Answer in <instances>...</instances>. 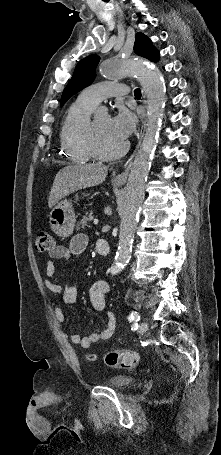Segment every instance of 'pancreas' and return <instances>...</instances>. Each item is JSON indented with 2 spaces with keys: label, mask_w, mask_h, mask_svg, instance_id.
I'll return each instance as SVG.
<instances>
[{
  "label": "pancreas",
  "mask_w": 221,
  "mask_h": 455,
  "mask_svg": "<svg viewBox=\"0 0 221 455\" xmlns=\"http://www.w3.org/2000/svg\"><path fill=\"white\" fill-rule=\"evenodd\" d=\"M93 219V212L86 213L82 219L77 223V229L90 227L89 222Z\"/></svg>",
  "instance_id": "pancreas-1"
}]
</instances>
